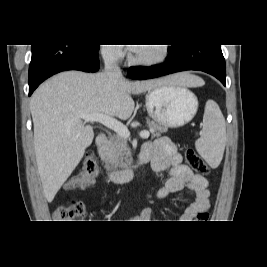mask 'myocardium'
<instances>
[{
  "label": "myocardium",
  "instance_id": "1",
  "mask_svg": "<svg viewBox=\"0 0 267 267\" xmlns=\"http://www.w3.org/2000/svg\"><path fill=\"white\" fill-rule=\"evenodd\" d=\"M169 54V47L165 44H160L159 53L150 58H139L136 54L130 55L129 61L135 65L139 66H154L163 62Z\"/></svg>",
  "mask_w": 267,
  "mask_h": 267
}]
</instances>
